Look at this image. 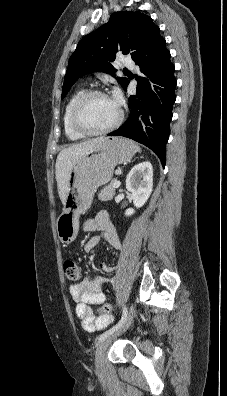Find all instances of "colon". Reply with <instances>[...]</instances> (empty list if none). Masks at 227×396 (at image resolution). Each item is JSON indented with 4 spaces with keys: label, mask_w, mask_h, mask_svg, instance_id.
<instances>
[{
    "label": "colon",
    "mask_w": 227,
    "mask_h": 396,
    "mask_svg": "<svg viewBox=\"0 0 227 396\" xmlns=\"http://www.w3.org/2000/svg\"><path fill=\"white\" fill-rule=\"evenodd\" d=\"M64 274L66 278L72 283H78L80 281V271L77 264L73 260H67L64 262ZM113 306L109 303H104L98 309L101 314H109L112 312Z\"/></svg>",
    "instance_id": "5ec220e1"
}]
</instances>
